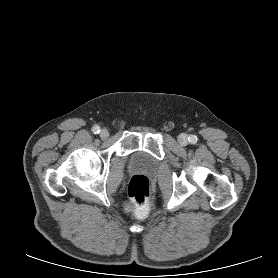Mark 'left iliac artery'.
Wrapping results in <instances>:
<instances>
[{
    "label": "left iliac artery",
    "instance_id": "1",
    "mask_svg": "<svg viewBox=\"0 0 278 278\" xmlns=\"http://www.w3.org/2000/svg\"><path fill=\"white\" fill-rule=\"evenodd\" d=\"M188 140H189L190 143L194 144V143H196L197 138H196V136L191 135V136L188 137Z\"/></svg>",
    "mask_w": 278,
    "mask_h": 278
}]
</instances>
